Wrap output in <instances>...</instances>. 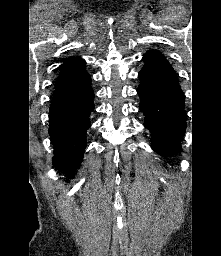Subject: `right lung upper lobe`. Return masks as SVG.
Masks as SVG:
<instances>
[{"label":"right lung upper lobe","mask_w":221,"mask_h":256,"mask_svg":"<svg viewBox=\"0 0 221 256\" xmlns=\"http://www.w3.org/2000/svg\"><path fill=\"white\" fill-rule=\"evenodd\" d=\"M84 64L85 61L78 57L66 61L57 79L52 102L64 101L91 90V76L84 69Z\"/></svg>","instance_id":"obj_1"}]
</instances>
